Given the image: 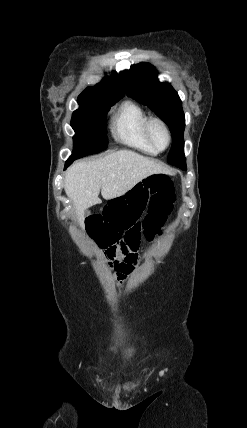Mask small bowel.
Here are the masks:
<instances>
[{"label": "small bowel", "instance_id": "c3829d8e", "mask_svg": "<svg viewBox=\"0 0 247 428\" xmlns=\"http://www.w3.org/2000/svg\"><path fill=\"white\" fill-rule=\"evenodd\" d=\"M137 258L129 259L124 254H118L115 258L112 267L117 271L120 279H125L133 270Z\"/></svg>", "mask_w": 247, "mask_h": 428}]
</instances>
